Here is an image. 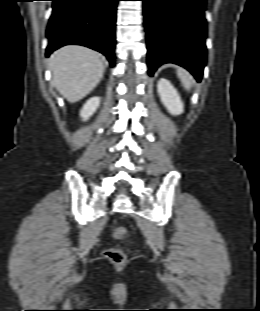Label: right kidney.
Returning <instances> with one entry per match:
<instances>
[{
	"instance_id": "right-kidney-1",
	"label": "right kidney",
	"mask_w": 260,
	"mask_h": 311,
	"mask_svg": "<svg viewBox=\"0 0 260 311\" xmlns=\"http://www.w3.org/2000/svg\"><path fill=\"white\" fill-rule=\"evenodd\" d=\"M100 104V98L99 97H92L90 98L83 106V108L80 111V116L85 121L90 116L94 114V112L97 110L98 106Z\"/></svg>"
}]
</instances>
